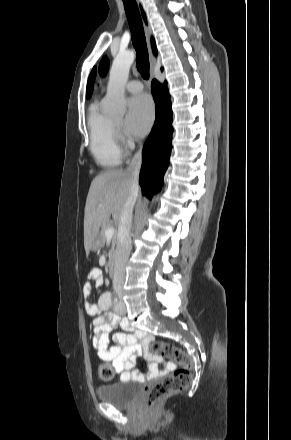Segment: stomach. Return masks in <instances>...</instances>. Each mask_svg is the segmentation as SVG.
<instances>
[{
  "mask_svg": "<svg viewBox=\"0 0 291 440\" xmlns=\"http://www.w3.org/2000/svg\"><path fill=\"white\" fill-rule=\"evenodd\" d=\"M100 245V240L99 238L93 243L92 245V249H97Z\"/></svg>",
  "mask_w": 291,
  "mask_h": 440,
  "instance_id": "stomach-1",
  "label": "stomach"
}]
</instances>
